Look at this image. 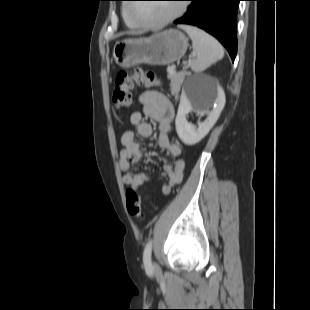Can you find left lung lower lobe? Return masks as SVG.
<instances>
[{
    "mask_svg": "<svg viewBox=\"0 0 310 310\" xmlns=\"http://www.w3.org/2000/svg\"><path fill=\"white\" fill-rule=\"evenodd\" d=\"M191 5L175 24L197 26L217 38L232 61L237 54V11L242 0H188Z\"/></svg>",
    "mask_w": 310,
    "mask_h": 310,
    "instance_id": "1",
    "label": "left lung lower lobe"
}]
</instances>
